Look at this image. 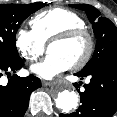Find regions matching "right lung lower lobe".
Segmentation results:
<instances>
[{
	"label": "right lung lower lobe",
	"instance_id": "98d812e1",
	"mask_svg": "<svg viewBox=\"0 0 117 117\" xmlns=\"http://www.w3.org/2000/svg\"><path fill=\"white\" fill-rule=\"evenodd\" d=\"M23 65L21 58L0 62V77L3 72L11 76L10 72L15 73ZM40 87V79L33 75L19 77L13 74L6 86L0 85V117H23L29 105L30 94Z\"/></svg>",
	"mask_w": 117,
	"mask_h": 117
}]
</instances>
